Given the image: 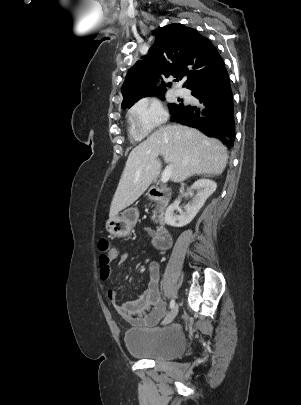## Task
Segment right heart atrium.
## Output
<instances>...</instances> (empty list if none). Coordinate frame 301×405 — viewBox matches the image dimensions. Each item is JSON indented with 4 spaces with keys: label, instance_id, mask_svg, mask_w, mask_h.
Wrapping results in <instances>:
<instances>
[{
    "label": "right heart atrium",
    "instance_id": "d8ad5b80",
    "mask_svg": "<svg viewBox=\"0 0 301 405\" xmlns=\"http://www.w3.org/2000/svg\"><path fill=\"white\" fill-rule=\"evenodd\" d=\"M134 129L146 135L167 120V112L157 99L144 98L137 101L129 110Z\"/></svg>",
    "mask_w": 301,
    "mask_h": 405
}]
</instances>
